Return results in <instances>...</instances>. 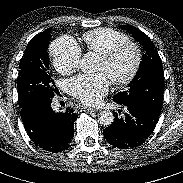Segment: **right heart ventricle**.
I'll list each match as a JSON object with an SVG mask.
<instances>
[{"label":"right heart ventricle","mask_w":183,"mask_h":183,"mask_svg":"<svg viewBox=\"0 0 183 183\" xmlns=\"http://www.w3.org/2000/svg\"><path fill=\"white\" fill-rule=\"evenodd\" d=\"M128 40L125 34L111 28L94 29L83 36L86 49L99 55Z\"/></svg>","instance_id":"right-heart-ventricle-1"}]
</instances>
